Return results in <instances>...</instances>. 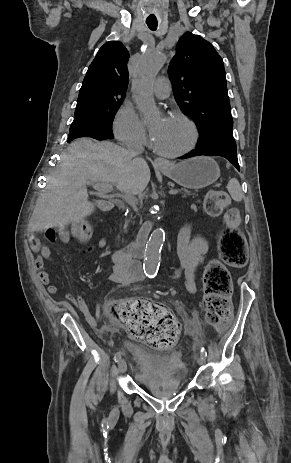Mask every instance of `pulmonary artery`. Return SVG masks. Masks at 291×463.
I'll return each mask as SVG.
<instances>
[{
  "label": "pulmonary artery",
  "instance_id": "e3ab8cb5",
  "mask_svg": "<svg viewBox=\"0 0 291 463\" xmlns=\"http://www.w3.org/2000/svg\"><path fill=\"white\" fill-rule=\"evenodd\" d=\"M171 91L170 82L167 77L161 76L154 83L152 92L158 99H166Z\"/></svg>",
  "mask_w": 291,
  "mask_h": 463
}]
</instances>
